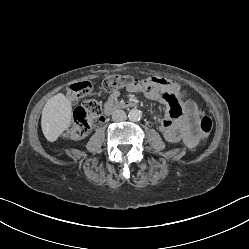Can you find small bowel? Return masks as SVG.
Masks as SVG:
<instances>
[{"instance_id":"c3829d8e","label":"small bowel","mask_w":249,"mask_h":249,"mask_svg":"<svg viewBox=\"0 0 249 249\" xmlns=\"http://www.w3.org/2000/svg\"><path fill=\"white\" fill-rule=\"evenodd\" d=\"M127 91L144 93L150 99L160 100L167 105V117L163 120L160 130L170 143L182 141L188 148H194L200 141V111L195 102L185 98L180 85L163 77H148L127 87ZM120 96L118 89L112 90L106 102H114Z\"/></svg>"}]
</instances>
